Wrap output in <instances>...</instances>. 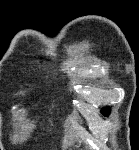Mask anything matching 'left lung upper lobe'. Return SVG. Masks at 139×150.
Here are the masks:
<instances>
[{
  "instance_id": "5c2ea615",
  "label": "left lung upper lobe",
  "mask_w": 139,
  "mask_h": 150,
  "mask_svg": "<svg viewBox=\"0 0 139 150\" xmlns=\"http://www.w3.org/2000/svg\"><path fill=\"white\" fill-rule=\"evenodd\" d=\"M109 111H110L109 109H103L102 110V112H103L104 115H108Z\"/></svg>"
}]
</instances>
